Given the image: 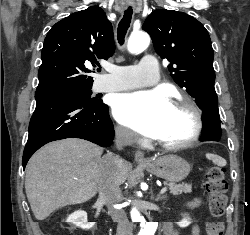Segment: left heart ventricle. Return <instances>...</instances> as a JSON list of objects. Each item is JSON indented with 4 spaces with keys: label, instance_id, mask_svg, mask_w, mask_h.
<instances>
[{
    "label": "left heart ventricle",
    "instance_id": "b2bd125f",
    "mask_svg": "<svg viewBox=\"0 0 250 235\" xmlns=\"http://www.w3.org/2000/svg\"><path fill=\"white\" fill-rule=\"evenodd\" d=\"M193 126V117L186 109L171 106L153 137L163 142L181 141L191 134Z\"/></svg>",
    "mask_w": 250,
    "mask_h": 235
}]
</instances>
